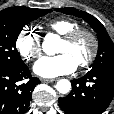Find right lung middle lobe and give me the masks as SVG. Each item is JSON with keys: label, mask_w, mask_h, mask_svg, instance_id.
<instances>
[{"label": "right lung middle lobe", "mask_w": 114, "mask_h": 114, "mask_svg": "<svg viewBox=\"0 0 114 114\" xmlns=\"http://www.w3.org/2000/svg\"><path fill=\"white\" fill-rule=\"evenodd\" d=\"M51 12L50 9L31 8L24 12H0V70H12L22 65L16 40L25 24Z\"/></svg>", "instance_id": "obj_1"}]
</instances>
